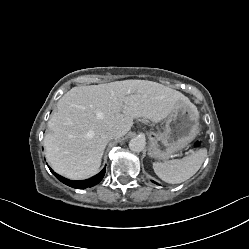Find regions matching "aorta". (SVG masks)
Wrapping results in <instances>:
<instances>
[{"label":"aorta","instance_id":"obj_1","mask_svg":"<svg viewBox=\"0 0 249 249\" xmlns=\"http://www.w3.org/2000/svg\"><path fill=\"white\" fill-rule=\"evenodd\" d=\"M146 141L143 137H135L130 140L129 148L131 151L139 153L145 148Z\"/></svg>","mask_w":249,"mask_h":249}]
</instances>
